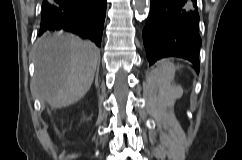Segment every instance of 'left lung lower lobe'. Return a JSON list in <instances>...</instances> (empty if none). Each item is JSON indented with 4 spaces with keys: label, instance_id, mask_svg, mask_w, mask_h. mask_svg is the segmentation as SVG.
Segmentation results:
<instances>
[{
    "label": "left lung lower lobe",
    "instance_id": "1",
    "mask_svg": "<svg viewBox=\"0 0 242 160\" xmlns=\"http://www.w3.org/2000/svg\"><path fill=\"white\" fill-rule=\"evenodd\" d=\"M151 8L143 30L149 64L165 57L191 61L199 71L197 0H150Z\"/></svg>",
    "mask_w": 242,
    "mask_h": 160
}]
</instances>
